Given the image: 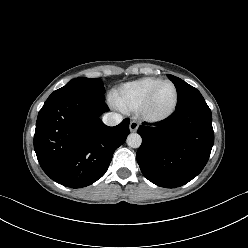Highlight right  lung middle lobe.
Listing matches in <instances>:
<instances>
[{"instance_id":"obj_1","label":"right lung middle lobe","mask_w":248,"mask_h":248,"mask_svg":"<svg viewBox=\"0 0 248 248\" xmlns=\"http://www.w3.org/2000/svg\"><path fill=\"white\" fill-rule=\"evenodd\" d=\"M65 93H83L104 99L105 88L101 79L80 77L69 81L65 86L54 91L49 97Z\"/></svg>"}]
</instances>
